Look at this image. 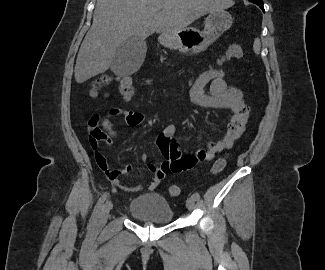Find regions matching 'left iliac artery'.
<instances>
[{
  "label": "left iliac artery",
  "mask_w": 325,
  "mask_h": 270,
  "mask_svg": "<svg viewBox=\"0 0 325 270\" xmlns=\"http://www.w3.org/2000/svg\"><path fill=\"white\" fill-rule=\"evenodd\" d=\"M192 198H194L195 200H199L200 199L199 193H197V192L193 193Z\"/></svg>",
  "instance_id": "1"
}]
</instances>
